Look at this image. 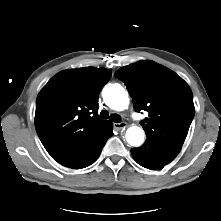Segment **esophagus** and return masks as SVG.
I'll return each mask as SVG.
<instances>
[{
	"instance_id": "1",
	"label": "esophagus",
	"mask_w": 221,
	"mask_h": 221,
	"mask_svg": "<svg viewBox=\"0 0 221 221\" xmlns=\"http://www.w3.org/2000/svg\"><path fill=\"white\" fill-rule=\"evenodd\" d=\"M127 127V123L125 122H121V123H114V128L116 130H122V129H125Z\"/></svg>"
}]
</instances>
